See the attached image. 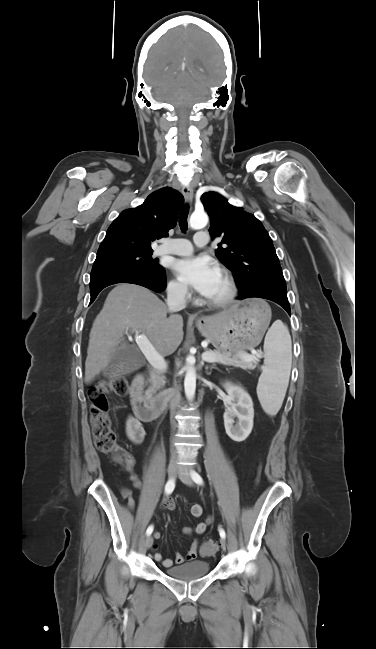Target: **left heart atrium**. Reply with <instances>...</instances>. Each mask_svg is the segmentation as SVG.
I'll use <instances>...</instances> for the list:
<instances>
[{
    "label": "left heart atrium",
    "instance_id": "39dd6f15",
    "mask_svg": "<svg viewBox=\"0 0 376 649\" xmlns=\"http://www.w3.org/2000/svg\"><path fill=\"white\" fill-rule=\"evenodd\" d=\"M174 271L178 279L207 296L220 275L216 262L208 257H188L177 260Z\"/></svg>",
    "mask_w": 376,
    "mask_h": 649
}]
</instances>
